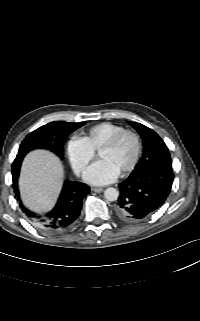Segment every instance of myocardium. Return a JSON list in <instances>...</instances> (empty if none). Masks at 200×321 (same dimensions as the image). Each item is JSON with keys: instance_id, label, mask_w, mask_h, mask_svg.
<instances>
[{"instance_id": "myocardium-1", "label": "myocardium", "mask_w": 200, "mask_h": 321, "mask_svg": "<svg viewBox=\"0 0 200 321\" xmlns=\"http://www.w3.org/2000/svg\"><path fill=\"white\" fill-rule=\"evenodd\" d=\"M125 136H131L134 139L136 148H135V154L131 163L120 172L121 175H126L131 171H133L139 162L141 152H142V141L139 134L133 130L124 129L123 131L115 134L108 141H106L99 148V151H98L99 153L101 150L114 148L120 142V140Z\"/></svg>"}]
</instances>
